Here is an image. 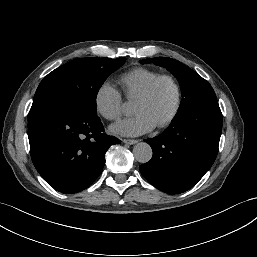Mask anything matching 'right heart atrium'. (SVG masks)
Here are the masks:
<instances>
[{"instance_id":"right-heart-atrium-1","label":"right heart atrium","mask_w":257,"mask_h":257,"mask_svg":"<svg viewBox=\"0 0 257 257\" xmlns=\"http://www.w3.org/2000/svg\"><path fill=\"white\" fill-rule=\"evenodd\" d=\"M94 106L103 118L117 120L123 112V97L110 83H103L95 92Z\"/></svg>"}]
</instances>
